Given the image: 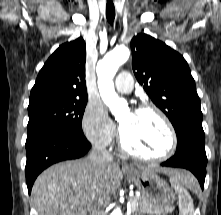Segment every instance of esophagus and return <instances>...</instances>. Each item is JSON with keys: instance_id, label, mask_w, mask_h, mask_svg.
I'll use <instances>...</instances> for the list:
<instances>
[{"instance_id": "obj_1", "label": "esophagus", "mask_w": 221, "mask_h": 215, "mask_svg": "<svg viewBox=\"0 0 221 215\" xmlns=\"http://www.w3.org/2000/svg\"><path fill=\"white\" fill-rule=\"evenodd\" d=\"M122 167L125 168V169H129L130 168V166L127 163H125V162L122 163Z\"/></svg>"}]
</instances>
